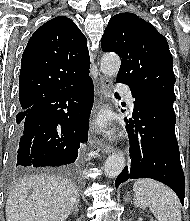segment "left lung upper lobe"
I'll return each mask as SVG.
<instances>
[{"label": "left lung upper lobe", "mask_w": 190, "mask_h": 221, "mask_svg": "<svg viewBox=\"0 0 190 221\" xmlns=\"http://www.w3.org/2000/svg\"><path fill=\"white\" fill-rule=\"evenodd\" d=\"M102 50L121 58L117 82L136 94L155 95L175 101L173 58L166 39L133 13L114 15L102 36Z\"/></svg>", "instance_id": "5c2ea615"}]
</instances>
